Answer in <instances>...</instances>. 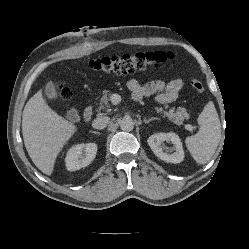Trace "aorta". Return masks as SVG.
<instances>
[{"label": "aorta", "mask_w": 249, "mask_h": 249, "mask_svg": "<svg viewBox=\"0 0 249 249\" xmlns=\"http://www.w3.org/2000/svg\"><path fill=\"white\" fill-rule=\"evenodd\" d=\"M120 128L123 131H131L134 128V122L131 118H123L120 122Z\"/></svg>", "instance_id": "762f6f07"}]
</instances>
